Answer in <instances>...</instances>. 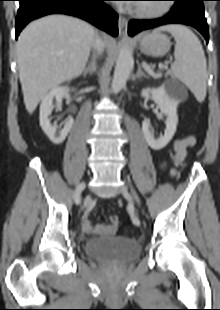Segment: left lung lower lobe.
I'll return each mask as SVG.
<instances>
[{"instance_id": "1", "label": "left lung lower lobe", "mask_w": 220, "mask_h": 310, "mask_svg": "<svg viewBox=\"0 0 220 310\" xmlns=\"http://www.w3.org/2000/svg\"><path fill=\"white\" fill-rule=\"evenodd\" d=\"M175 1L170 12L162 18L154 20H131L128 26L129 35L133 36L142 30L166 24H185L196 28L209 41L208 25L204 16V8L195 5L194 1Z\"/></svg>"}]
</instances>
